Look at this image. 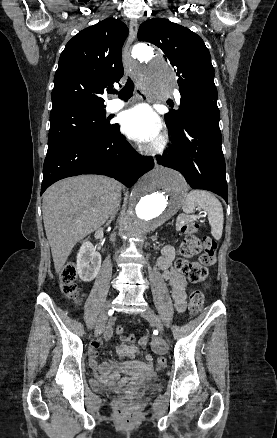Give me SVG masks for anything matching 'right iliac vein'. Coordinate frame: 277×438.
Returning a JSON list of instances; mask_svg holds the SVG:
<instances>
[{"instance_id": "1", "label": "right iliac vein", "mask_w": 277, "mask_h": 438, "mask_svg": "<svg viewBox=\"0 0 277 438\" xmlns=\"http://www.w3.org/2000/svg\"><path fill=\"white\" fill-rule=\"evenodd\" d=\"M110 308H111V304L107 303L101 311V314L99 316V320L97 322L96 329H95V336L96 337H98L102 333V330H103V327L106 323Z\"/></svg>"}]
</instances>
